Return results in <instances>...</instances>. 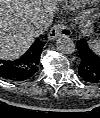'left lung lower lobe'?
Listing matches in <instances>:
<instances>
[{"instance_id":"obj_1","label":"left lung lower lobe","mask_w":100,"mask_h":118,"mask_svg":"<svg viewBox=\"0 0 100 118\" xmlns=\"http://www.w3.org/2000/svg\"><path fill=\"white\" fill-rule=\"evenodd\" d=\"M77 49L81 57L78 70L81 78L88 83H100V56L89 49L85 39L77 41Z\"/></svg>"}]
</instances>
